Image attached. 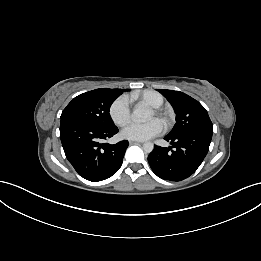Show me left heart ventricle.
I'll use <instances>...</instances> for the list:
<instances>
[{"label": "left heart ventricle", "instance_id": "obj_1", "mask_svg": "<svg viewBox=\"0 0 261 261\" xmlns=\"http://www.w3.org/2000/svg\"><path fill=\"white\" fill-rule=\"evenodd\" d=\"M153 116H154V113L152 112L151 115H150V117H153Z\"/></svg>", "mask_w": 261, "mask_h": 261}]
</instances>
